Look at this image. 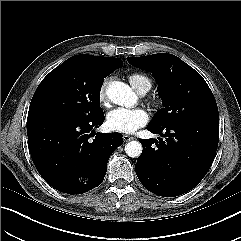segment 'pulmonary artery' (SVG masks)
<instances>
[{
  "label": "pulmonary artery",
  "mask_w": 241,
  "mask_h": 241,
  "mask_svg": "<svg viewBox=\"0 0 241 241\" xmlns=\"http://www.w3.org/2000/svg\"><path fill=\"white\" fill-rule=\"evenodd\" d=\"M145 93H146V92H141L140 94L143 95V94H145Z\"/></svg>",
  "instance_id": "obj_1"
}]
</instances>
